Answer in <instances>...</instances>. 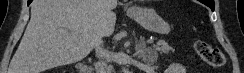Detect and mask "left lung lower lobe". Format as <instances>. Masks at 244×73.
<instances>
[{
    "label": "left lung lower lobe",
    "instance_id": "obj_1",
    "mask_svg": "<svg viewBox=\"0 0 244 73\" xmlns=\"http://www.w3.org/2000/svg\"><path fill=\"white\" fill-rule=\"evenodd\" d=\"M212 1L213 0H200V2H202L203 4L207 5L208 7H210L212 9V11L214 10L215 6H212ZM214 4V1H213Z\"/></svg>",
    "mask_w": 244,
    "mask_h": 73
}]
</instances>
